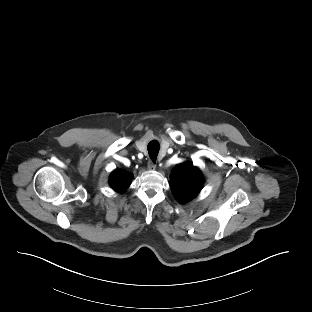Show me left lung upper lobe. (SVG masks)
I'll return each mask as SVG.
<instances>
[{
  "instance_id": "1",
  "label": "left lung upper lobe",
  "mask_w": 312,
  "mask_h": 312,
  "mask_svg": "<svg viewBox=\"0 0 312 312\" xmlns=\"http://www.w3.org/2000/svg\"><path fill=\"white\" fill-rule=\"evenodd\" d=\"M203 182L200 170L189 162L172 169L170 187L175 197L182 203L194 198L202 189Z\"/></svg>"
}]
</instances>
